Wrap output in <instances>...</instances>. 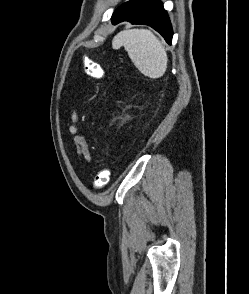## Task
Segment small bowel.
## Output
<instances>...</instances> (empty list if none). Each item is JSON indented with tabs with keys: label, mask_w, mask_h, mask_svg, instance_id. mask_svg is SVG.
Here are the masks:
<instances>
[{
	"label": "small bowel",
	"mask_w": 249,
	"mask_h": 294,
	"mask_svg": "<svg viewBox=\"0 0 249 294\" xmlns=\"http://www.w3.org/2000/svg\"><path fill=\"white\" fill-rule=\"evenodd\" d=\"M71 126L69 127V133L73 137V145L75 148L76 158L80 163H90L92 160L88 143L83 136L77 134L76 123L78 122V115L75 110L70 115Z\"/></svg>",
	"instance_id": "obj_1"
}]
</instances>
